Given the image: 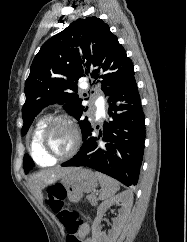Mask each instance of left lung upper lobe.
<instances>
[{"instance_id":"5c2ea615","label":"left lung upper lobe","mask_w":187,"mask_h":242,"mask_svg":"<svg viewBox=\"0 0 187 242\" xmlns=\"http://www.w3.org/2000/svg\"><path fill=\"white\" fill-rule=\"evenodd\" d=\"M83 76L90 77L92 85L100 83L107 96L134 76L133 63L117 37L96 17L72 22L48 39L35 56L25 82L22 135L27 133L41 109L49 104H63L69 114L80 120L88 108L76 94L77 81ZM79 125L85 140L91 124L86 117ZM23 167L26 173L34 167L28 155L24 156Z\"/></svg>"}]
</instances>
